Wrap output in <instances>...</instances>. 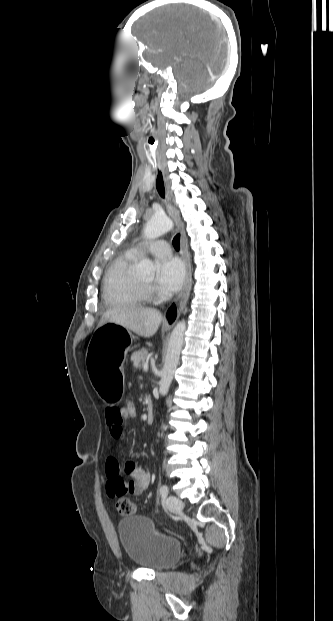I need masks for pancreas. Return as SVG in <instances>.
<instances>
[{
  "label": "pancreas",
  "instance_id": "pancreas-1",
  "mask_svg": "<svg viewBox=\"0 0 333 621\" xmlns=\"http://www.w3.org/2000/svg\"><path fill=\"white\" fill-rule=\"evenodd\" d=\"M148 359V351L145 348L141 350L135 351L131 355V361L133 362L134 367L140 368Z\"/></svg>",
  "mask_w": 333,
  "mask_h": 621
}]
</instances>
